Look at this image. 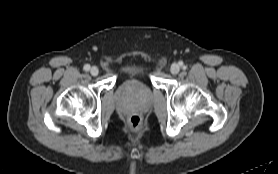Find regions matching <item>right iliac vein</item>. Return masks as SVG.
Wrapping results in <instances>:
<instances>
[{
  "label": "right iliac vein",
  "instance_id": "right-iliac-vein-1",
  "mask_svg": "<svg viewBox=\"0 0 278 174\" xmlns=\"http://www.w3.org/2000/svg\"><path fill=\"white\" fill-rule=\"evenodd\" d=\"M98 73H99V70H98V68H97L96 66L91 67V69H90V74H91L92 76H97Z\"/></svg>",
  "mask_w": 278,
  "mask_h": 174
}]
</instances>
